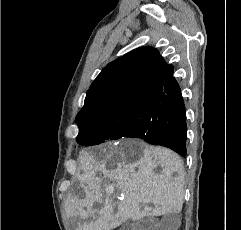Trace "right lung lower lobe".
Segmentation results:
<instances>
[{
	"mask_svg": "<svg viewBox=\"0 0 241 230\" xmlns=\"http://www.w3.org/2000/svg\"><path fill=\"white\" fill-rule=\"evenodd\" d=\"M173 66L166 71L159 95L146 108L144 116L149 126L132 133L131 138H140L149 144L168 147L182 156L186 155V112L181 89L173 78Z\"/></svg>",
	"mask_w": 241,
	"mask_h": 230,
	"instance_id": "98d812e1",
	"label": "right lung lower lobe"
}]
</instances>
